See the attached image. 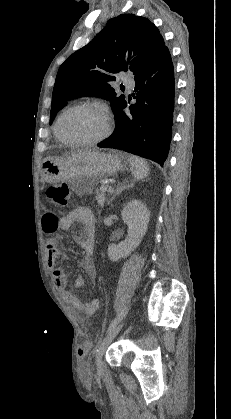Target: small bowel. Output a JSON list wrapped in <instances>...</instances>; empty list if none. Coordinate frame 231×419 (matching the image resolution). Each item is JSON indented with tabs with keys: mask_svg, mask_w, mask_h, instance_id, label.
<instances>
[{
	"mask_svg": "<svg viewBox=\"0 0 231 419\" xmlns=\"http://www.w3.org/2000/svg\"><path fill=\"white\" fill-rule=\"evenodd\" d=\"M42 228L46 233L53 234L46 245L47 264L53 271V281L57 290L61 291L65 301L70 304L80 315H94L100 307V301L96 298L85 301L75 292L66 290L67 278L64 269L56 265L60 255L59 243L62 237L55 234L57 229L68 230L75 223H81L82 232L74 236V241L83 249L84 257L82 266L92 268L94 241H95V218L93 212L85 207H79L62 218L58 219L54 214H46L41 220ZM84 285L82 277L74 281V289L80 290Z\"/></svg>",
	"mask_w": 231,
	"mask_h": 419,
	"instance_id": "1",
	"label": "small bowel"
}]
</instances>
